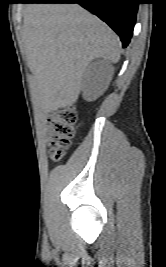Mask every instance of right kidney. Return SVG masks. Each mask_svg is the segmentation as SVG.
<instances>
[{
  "mask_svg": "<svg viewBox=\"0 0 166 267\" xmlns=\"http://www.w3.org/2000/svg\"><path fill=\"white\" fill-rule=\"evenodd\" d=\"M103 68L101 65L95 66L93 71L85 77L83 83V96L86 100L96 99L102 92Z\"/></svg>",
  "mask_w": 166,
  "mask_h": 267,
  "instance_id": "1",
  "label": "right kidney"
}]
</instances>
